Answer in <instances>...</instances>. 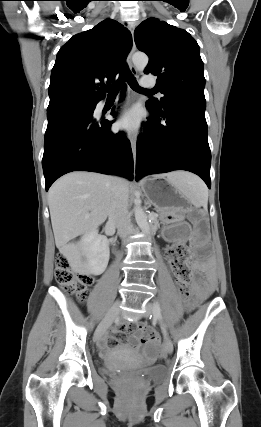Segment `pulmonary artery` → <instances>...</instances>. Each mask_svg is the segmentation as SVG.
I'll return each instance as SVG.
<instances>
[{"label":"pulmonary artery","instance_id":"e3ab8cb5","mask_svg":"<svg viewBox=\"0 0 261 427\" xmlns=\"http://www.w3.org/2000/svg\"><path fill=\"white\" fill-rule=\"evenodd\" d=\"M155 84H156L155 80L149 77H144L141 80V86L144 88H152L155 86ZM102 104H104V102Z\"/></svg>","mask_w":261,"mask_h":427}]
</instances>
